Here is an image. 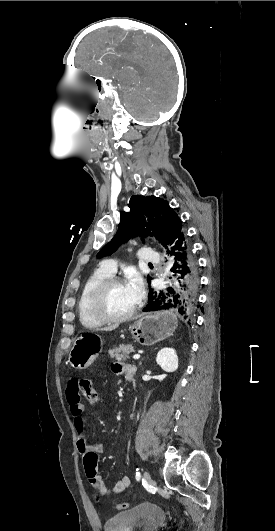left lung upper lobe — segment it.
<instances>
[{"label": "left lung upper lobe", "instance_id": "obj_1", "mask_svg": "<svg viewBox=\"0 0 275 531\" xmlns=\"http://www.w3.org/2000/svg\"><path fill=\"white\" fill-rule=\"evenodd\" d=\"M128 206L130 212H121L117 234L99 252L98 257L110 255L121 243L136 236H141L143 242L145 236H155L166 247L172 232L181 223L168 202L159 197L132 196ZM150 280L148 276L149 283Z\"/></svg>", "mask_w": 275, "mask_h": 531}]
</instances>
